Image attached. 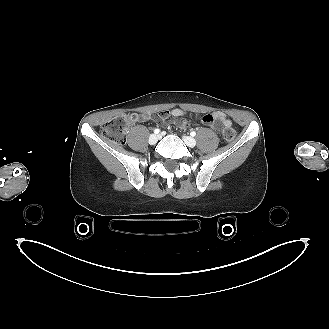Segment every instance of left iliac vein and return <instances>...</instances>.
<instances>
[{"mask_svg":"<svg viewBox=\"0 0 329 329\" xmlns=\"http://www.w3.org/2000/svg\"><path fill=\"white\" fill-rule=\"evenodd\" d=\"M161 138V136H160ZM183 140L186 143L187 146L193 148L196 145V140L193 137L190 136H183Z\"/></svg>","mask_w":329,"mask_h":329,"instance_id":"1","label":"left iliac vein"}]
</instances>
